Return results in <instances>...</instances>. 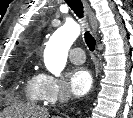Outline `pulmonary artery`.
I'll return each instance as SVG.
<instances>
[{"label": "pulmonary artery", "mask_w": 133, "mask_h": 118, "mask_svg": "<svg viewBox=\"0 0 133 118\" xmlns=\"http://www.w3.org/2000/svg\"><path fill=\"white\" fill-rule=\"evenodd\" d=\"M69 58L71 62L75 64H81L85 61L84 50L81 47H75L71 49L69 53Z\"/></svg>", "instance_id": "1"}]
</instances>
